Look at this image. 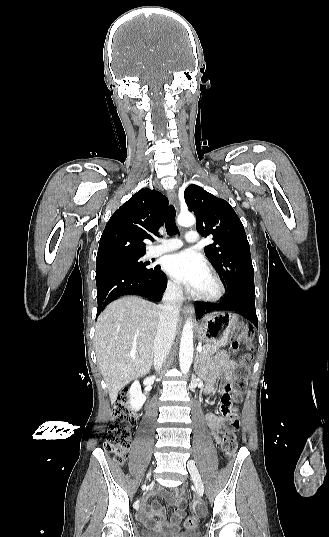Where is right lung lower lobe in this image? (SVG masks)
I'll use <instances>...</instances> for the list:
<instances>
[{
  "label": "right lung lower lobe",
  "mask_w": 329,
  "mask_h": 537,
  "mask_svg": "<svg viewBox=\"0 0 329 537\" xmlns=\"http://www.w3.org/2000/svg\"><path fill=\"white\" fill-rule=\"evenodd\" d=\"M97 316L114 299L124 295H140L160 301L167 286L166 275L159 266L147 273L119 268L96 270Z\"/></svg>",
  "instance_id": "1"
}]
</instances>
